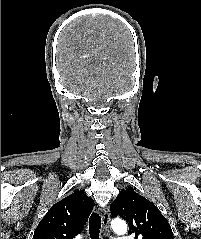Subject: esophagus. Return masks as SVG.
Instances as JSON below:
<instances>
[{
    "label": "esophagus",
    "mask_w": 201,
    "mask_h": 239,
    "mask_svg": "<svg viewBox=\"0 0 201 239\" xmlns=\"http://www.w3.org/2000/svg\"><path fill=\"white\" fill-rule=\"evenodd\" d=\"M100 210V214L102 216V223H103V227L105 230L108 229L109 227V222H110V211L108 207L99 209Z\"/></svg>",
    "instance_id": "34e87169"
}]
</instances>
